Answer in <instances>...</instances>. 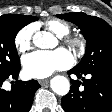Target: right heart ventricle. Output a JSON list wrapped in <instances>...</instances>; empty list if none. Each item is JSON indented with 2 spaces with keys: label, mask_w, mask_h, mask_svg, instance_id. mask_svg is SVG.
Wrapping results in <instances>:
<instances>
[{
  "label": "right heart ventricle",
  "mask_w": 112,
  "mask_h": 112,
  "mask_svg": "<svg viewBox=\"0 0 112 112\" xmlns=\"http://www.w3.org/2000/svg\"><path fill=\"white\" fill-rule=\"evenodd\" d=\"M45 26L58 37L66 36L70 31V25L62 20L50 19L45 22Z\"/></svg>",
  "instance_id": "right-heart-ventricle-1"
}]
</instances>
